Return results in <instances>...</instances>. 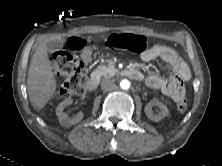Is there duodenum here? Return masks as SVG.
Segmentation results:
<instances>
[{
    "mask_svg": "<svg viewBox=\"0 0 222 166\" xmlns=\"http://www.w3.org/2000/svg\"><path fill=\"white\" fill-rule=\"evenodd\" d=\"M123 74L125 76H128L129 78L134 79V80H141L142 79V74L135 69H125L123 71ZM98 84H99V75L94 74L87 80L86 88L89 91H94L98 87Z\"/></svg>",
    "mask_w": 222,
    "mask_h": 166,
    "instance_id": "obj_1",
    "label": "duodenum"
}]
</instances>
